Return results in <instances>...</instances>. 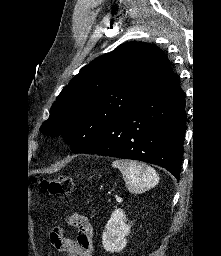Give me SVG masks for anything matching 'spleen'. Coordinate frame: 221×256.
<instances>
[{
  "label": "spleen",
  "mask_w": 221,
  "mask_h": 256,
  "mask_svg": "<svg viewBox=\"0 0 221 256\" xmlns=\"http://www.w3.org/2000/svg\"><path fill=\"white\" fill-rule=\"evenodd\" d=\"M112 167L121 171L126 187L134 194H141L159 182V176L151 166L137 161L115 160Z\"/></svg>",
  "instance_id": "obj_1"
}]
</instances>
